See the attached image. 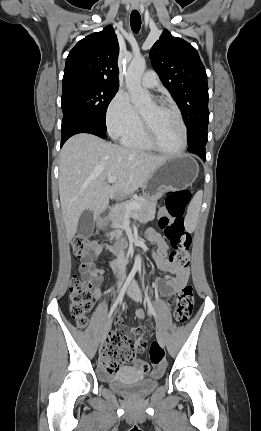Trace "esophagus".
Segmentation results:
<instances>
[{
    "label": "esophagus",
    "mask_w": 261,
    "mask_h": 431,
    "mask_svg": "<svg viewBox=\"0 0 261 431\" xmlns=\"http://www.w3.org/2000/svg\"><path fill=\"white\" fill-rule=\"evenodd\" d=\"M132 7H133L134 9H138V8H139V4H138V3H133V4H132Z\"/></svg>",
    "instance_id": "obj_1"
}]
</instances>
